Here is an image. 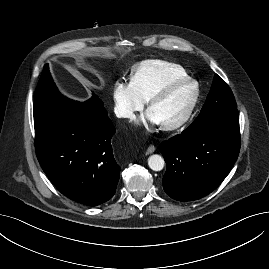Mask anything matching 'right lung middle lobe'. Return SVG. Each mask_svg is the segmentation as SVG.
<instances>
[{"label": "right lung middle lobe", "instance_id": "right-lung-middle-lobe-1", "mask_svg": "<svg viewBox=\"0 0 269 269\" xmlns=\"http://www.w3.org/2000/svg\"><path fill=\"white\" fill-rule=\"evenodd\" d=\"M83 107L107 114L103 102L94 93L85 102L73 101L61 95L50 76L49 68H44L35 91L33 107L35 135H41L67 122Z\"/></svg>", "mask_w": 269, "mask_h": 269}]
</instances>
